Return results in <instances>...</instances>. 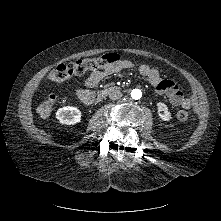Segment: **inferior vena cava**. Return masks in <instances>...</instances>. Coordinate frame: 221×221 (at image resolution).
I'll return each mask as SVG.
<instances>
[{
	"instance_id": "obj_1",
	"label": "inferior vena cava",
	"mask_w": 221,
	"mask_h": 221,
	"mask_svg": "<svg viewBox=\"0 0 221 221\" xmlns=\"http://www.w3.org/2000/svg\"><path fill=\"white\" fill-rule=\"evenodd\" d=\"M122 97V93L120 92V90L114 89L110 92L109 94V98L111 100H118Z\"/></svg>"
}]
</instances>
